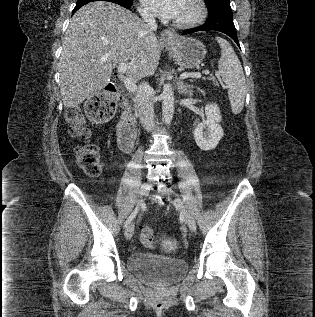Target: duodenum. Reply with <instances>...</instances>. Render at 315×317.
Listing matches in <instances>:
<instances>
[{
  "mask_svg": "<svg viewBox=\"0 0 315 317\" xmlns=\"http://www.w3.org/2000/svg\"><path fill=\"white\" fill-rule=\"evenodd\" d=\"M113 83L122 105V113L116 125L118 143L121 150L128 153L133 150L137 135V128L133 117L134 99L127 90L123 79L117 74L113 76Z\"/></svg>",
  "mask_w": 315,
  "mask_h": 317,
  "instance_id": "410a0bca",
  "label": "duodenum"
}]
</instances>
